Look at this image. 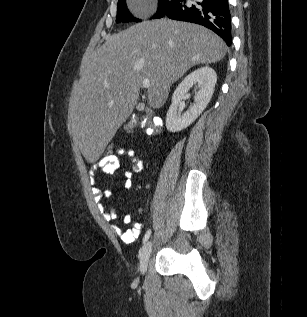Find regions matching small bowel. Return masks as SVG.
<instances>
[{"label": "small bowel", "mask_w": 307, "mask_h": 317, "mask_svg": "<svg viewBox=\"0 0 307 317\" xmlns=\"http://www.w3.org/2000/svg\"><path fill=\"white\" fill-rule=\"evenodd\" d=\"M119 157H126L130 160L133 168V172L139 173L143 170V160L142 156L137 153L132 148H121L118 155L114 158L109 159H99L94 164V171H99L104 175L113 174L116 170L120 167V160ZM132 187V172H126L125 173V180L123 182V188L124 189H130ZM113 195V191L107 190L105 192V196L107 198L111 197ZM96 201L99 202L101 199V196L99 194L95 197ZM102 214L105 220L111 221L116 219L117 213L114 210H106L102 209ZM123 221L125 223H131L133 221L131 214H126L123 217ZM142 225L140 223H133L132 228L128 230H123L117 226H112L113 230L119 235L121 240L124 243H133L136 238L139 236L140 229Z\"/></svg>", "instance_id": "1"}]
</instances>
